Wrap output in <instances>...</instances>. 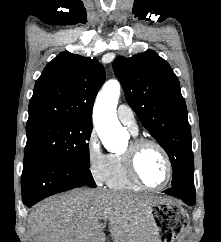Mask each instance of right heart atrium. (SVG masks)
<instances>
[{
  "label": "right heart atrium",
  "mask_w": 221,
  "mask_h": 242,
  "mask_svg": "<svg viewBox=\"0 0 221 242\" xmlns=\"http://www.w3.org/2000/svg\"><path fill=\"white\" fill-rule=\"evenodd\" d=\"M85 150L90 175L97 184L105 182L109 166V154L104 153L95 131L89 134Z\"/></svg>",
  "instance_id": "d8ad5b80"
}]
</instances>
